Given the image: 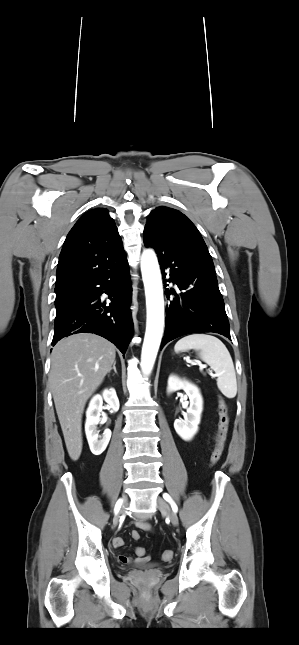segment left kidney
<instances>
[{"mask_svg":"<svg viewBox=\"0 0 299 645\" xmlns=\"http://www.w3.org/2000/svg\"><path fill=\"white\" fill-rule=\"evenodd\" d=\"M181 389L189 397L190 406L187 412L184 413V419L175 420L174 428L183 440L189 441L198 431L203 409V399L197 386L187 380H181L177 376L171 375L168 379V393Z\"/></svg>","mask_w":299,"mask_h":645,"instance_id":"1","label":"left kidney"}]
</instances>
